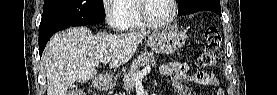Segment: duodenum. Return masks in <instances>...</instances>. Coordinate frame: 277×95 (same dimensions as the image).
<instances>
[{"instance_id":"duodenum-1","label":"duodenum","mask_w":277,"mask_h":95,"mask_svg":"<svg viewBox=\"0 0 277 95\" xmlns=\"http://www.w3.org/2000/svg\"><path fill=\"white\" fill-rule=\"evenodd\" d=\"M97 86H98V88H104L106 86L103 78L99 77L97 79Z\"/></svg>"}]
</instances>
